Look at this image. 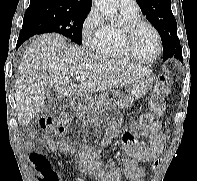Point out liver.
Masks as SVG:
<instances>
[{
	"instance_id": "liver-1",
	"label": "liver",
	"mask_w": 197,
	"mask_h": 181,
	"mask_svg": "<svg viewBox=\"0 0 197 181\" xmlns=\"http://www.w3.org/2000/svg\"><path fill=\"white\" fill-rule=\"evenodd\" d=\"M151 70L107 55H97L54 33L37 37L25 50L15 81L18 122L26 126L45 106V91L55 87L62 96L86 97L130 84ZM77 75L88 80L73 82Z\"/></svg>"
}]
</instances>
